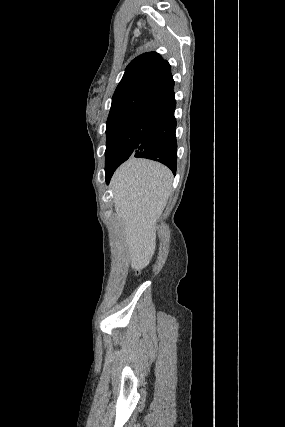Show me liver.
<instances>
[{
  "label": "liver",
  "mask_w": 285,
  "mask_h": 427,
  "mask_svg": "<svg viewBox=\"0 0 285 427\" xmlns=\"http://www.w3.org/2000/svg\"><path fill=\"white\" fill-rule=\"evenodd\" d=\"M172 181V172L164 165L134 157L112 177L115 211L123 223L131 266L136 270L148 265L154 253L156 222L166 206Z\"/></svg>",
  "instance_id": "obj_1"
}]
</instances>
